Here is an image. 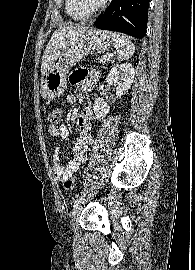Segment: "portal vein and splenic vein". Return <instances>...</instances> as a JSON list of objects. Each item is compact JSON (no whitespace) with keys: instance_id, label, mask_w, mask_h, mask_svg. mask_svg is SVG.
Segmentation results:
<instances>
[{"instance_id":"obj_1","label":"portal vein and splenic vein","mask_w":195,"mask_h":270,"mask_svg":"<svg viewBox=\"0 0 195 270\" xmlns=\"http://www.w3.org/2000/svg\"><path fill=\"white\" fill-rule=\"evenodd\" d=\"M108 57H112V54H109Z\"/></svg>"}]
</instances>
